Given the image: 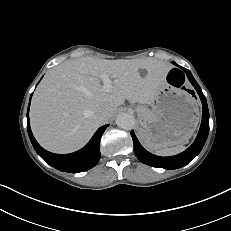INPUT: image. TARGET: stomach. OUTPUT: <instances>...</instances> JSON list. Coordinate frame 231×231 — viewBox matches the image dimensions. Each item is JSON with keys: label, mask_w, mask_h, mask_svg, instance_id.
I'll list each match as a JSON object with an SVG mask.
<instances>
[{"label": "stomach", "mask_w": 231, "mask_h": 231, "mask_svg": "<svg viewBox=\"0 0 231 231\" xmlns=\"http://www.w3.org/2000/svg\"><path fill=\"white\" fill-rule=\"evenodd\" d=\"M140 136L152 150L180 145L188 141L199 122V104L193 93L168 75L150 107H136Z\"/></svg>", "instance_id": "0dacf381"}]
</instances>
